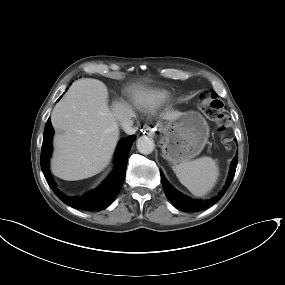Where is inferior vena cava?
Returning <instances> with one entry per match:
<instances>
[{"label":"inferior vena cava","mask_w":285,"mask_h":285,"mask_svg":"<svg viewBox=\"0 0 285 285\" xmlns=\"http://www.w3.org/2000/svg\"><path fill=\"white\" fill-rule=\"evenodd\" d=\"M133 124V115H127L120 120V125L127 134H134L136 132L137 127H134Z\"/></svg>","instance_id":"obj_1"}]
</instances>
